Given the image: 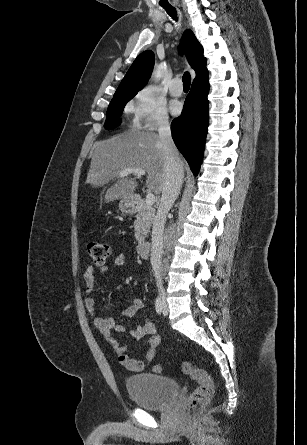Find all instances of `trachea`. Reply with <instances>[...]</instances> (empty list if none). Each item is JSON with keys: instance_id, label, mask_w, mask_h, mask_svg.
Listing matches in <instances>:
<instances>
[{"instance_id": "1", "label": "trachea", "mask_w": 307, "mask_h": 445, "mask_svg": "<svg viewBox=\"0 0 307 445\" xmlns=\"http://www.w3.org/2000/svg\"><path fill=\"white\" fill-rule=\"evenodd\" d=\"M165 10L174 20L177 21V19H178L177 12H176V9H174V7H167V8H165ZM182 81H183L184 89H189L190 85H191V76H190L189 72H185L183 74Z\"/></svg>"}]
</instances>
